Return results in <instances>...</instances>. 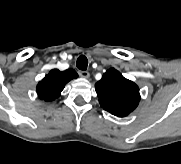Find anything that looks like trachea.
I'll return each instance as SVG.
<instances>
[{"label":"trachea","instance_id":"3493384b","mask_svg":"<svg viewBox=\"0 0 181 164\" xmlns=\"http://www.w3.org/2000/svg\"><path fill=\"white\" fill-rule=\"evenodd\" d=\"M77 68H79L82 71H86L87 66H88V59L86 56L81 55L78 57L77 62H76Z\"/></svg>","mask_w":181,"mask_h":164}]
</instances>
